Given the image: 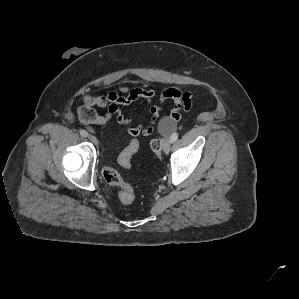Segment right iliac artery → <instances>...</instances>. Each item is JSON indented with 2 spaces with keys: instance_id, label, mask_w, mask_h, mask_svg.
<instances>
[{
  "instance_id": "1",
  "label": "right iliac artery",
  "mask_w": 299,
  "mask_h": 299,
  "mask_svg": "<svg viewBox=\"0 0 299 299\" xmlns=\"http://www.w3.org/2000/svg\"><path fill=\"white\" fill-rule=\"evenodd\" d=\"M79 133L83 137H87L88 136V132H86L85 130H80Z\"/></svg>"
}]
</instances>
